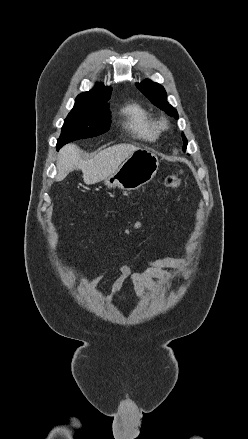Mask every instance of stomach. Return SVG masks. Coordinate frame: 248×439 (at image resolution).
Segmentation results:
<instances>
[{
    "label": "stomach",
    "instance_id": "1",
    "mask_svg": "<svg viewBox=\"0 0 248 439\" xmlns=\"http://www.w3.org/2000/svg\"><path fill=\"white\" fill-rule=\"evenodd\" d=\"M158 167L157 155L149 149L140 148L134 151L113 174L104 179V184L108 188L137 190L154 178Z\"/></svg>",
    "mask_w": 248,
    "mask_h": 439
}]
</instances>
